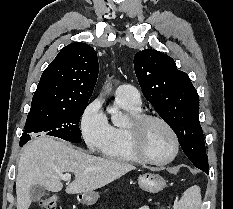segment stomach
I'll use <instances>...</instances> for the list:
<instances>
[{
    "instance_id": "1",
    "label": "stomach",
    "mask_w": 233,
    "mask_h": 209,
    "mask_svg": "<svg viewBox=\"0 0 233 209\" xmlns=\"http://www.w3.org/2000/svg\"><path fill=\"white\" fill-rule=\"evenodd\" d=\"M139 187L150 193H157L161 191L166 182L162 176L156 173H145L138 178ZM99 199V194L97 192L82 193L81 202L85 205H93Z\"/></svg>"
}]
</instances>
